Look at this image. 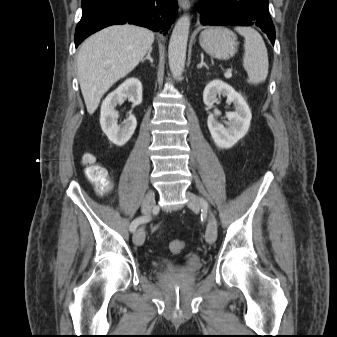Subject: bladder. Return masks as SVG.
Segmentation results:
<instances>
[{"mask_svg": "<svg viewBox=\"0 0 337 337\" xmlns=\"http://www.w3.org/2000/svg\"><path fill=\"white\" fill-rule=\"evenodd\" d=\"M154 265L157 269H164L168 265V261H166V260L157 261V262H155Z\"/></svg>", "mask_w": 337, "mask_h": 337, "instance_id": "31cf9c89", "label": "bladder"}]
</instances>
